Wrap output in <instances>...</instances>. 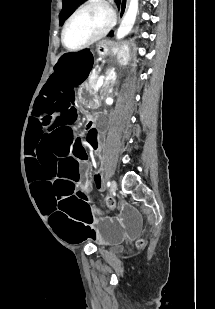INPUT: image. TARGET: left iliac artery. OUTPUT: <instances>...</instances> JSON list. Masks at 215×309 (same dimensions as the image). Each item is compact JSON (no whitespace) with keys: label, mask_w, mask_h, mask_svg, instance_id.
<instances>
[{"label":"left iliac artery","mask_w":215,"mask_h":309,"mask_svg":"<svg viewBox=\"0 0 215 309\" xmlns=\"http://www.w3.org/2000/svg\"><path fill=\"white\" fill-rule=\"evenodd\" d=\"M106 185H107V187H109V186H110V182L108 181V182L106 183Z\"/></svg>","instance_id":"1"}]
</instances>
